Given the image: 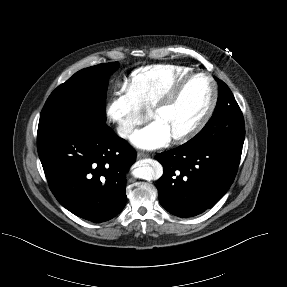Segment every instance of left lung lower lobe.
<instances>
[{"label": "left lung lower lobe", "mask_w": 287, "mask_h": 287, "mask_svg": "<svg viewBox=\"0 0 287 287\" xmlns=\"http://www.w3.org/2000/svg\"><path fill=\"white\" fill-rule=\"evenodd\" d=\"M242 148L188 141L156 155L164 174L157 181L159 201L178 217L212 208L228 191L237 173Z\"/></svg>", "instance_id": "0a47b994"}]
</instances>
